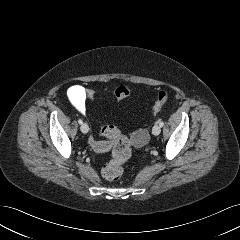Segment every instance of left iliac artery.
<instances>
[{
    "mask_svg": "<svg viewBox=\"0 0 240 240\" xmlns=\"http://www.w3.org/2000/svg\"><path fill=\"white\" fill-rule=\"evenodd\" d=\"M163 125H164V122H163V121H160V122H159V126H160V127H163Z\"/></svg>",
    "mask_w": 240,
    "mask_h": 240,
    "instance_id": "44dca946",
    "label": "left iliac artery"
}]
</instances>
